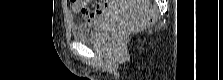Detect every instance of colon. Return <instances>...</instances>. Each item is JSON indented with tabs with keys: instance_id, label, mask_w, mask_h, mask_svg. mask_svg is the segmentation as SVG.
<instances>
[{
	"instance_id": "1",
	"label": "colon",
	"mask_w": 223,
	"mask_h": 80,
	"mask_svg": "<svg viewBox=\"0 0 223 80\" xmlns=\"http://www.w3.org/2000/svg\"><path fill=\"white\" fill-rule=\"evenodd\" d=\"M74 4H76L81 13L82 14H86L87 12H89L91 9L89 8L88 6V2L86 1H80V0H76L74 1ZM155 20V17L153 14H150L147 16V18L144 20V24H150V23H153ZM135 28L134 25H128L124 28H122L121 30H119V32L117 33L118 36H123L125 34H128L129 32H131L133 29Z\"/></svg>"
}]
</instances>
